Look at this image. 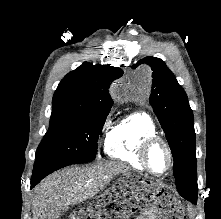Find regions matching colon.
<instances>
[{
    "label": "colon",
    "mask_w": 221,
    "mask_h": 219,
    "mask_svg": "<svg viewBox=\"0 0 221 219\" xmlns=\"http://www.w3.org/2000/svg\"><path fill=\"white\" fill-rule=\"evenodd\" d=\"M128 191V185H118L113 191L107 192L102 195L99 198L98 202L92 204L88 209L76 212L73 216V219H89V217H86L87 212L94 211L96 209H99V211H101L102 215L104 216H111L113 211L117 207L118 199L127 201ZM148 194L152 193L149 191L140 192V203L135 211L148 208L152 204V202L156 200L158 202L157 206L159 211L165 216L166 219H185L181 212L174 211L170 208L166 199H148ZM129 202L134 204L133 199H129Z\"/></svg>",
    "instance_id": "colon-1"
}]
</instances>
